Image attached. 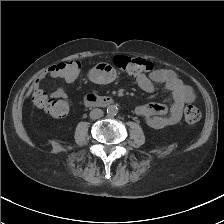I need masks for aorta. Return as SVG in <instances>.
Listing matches in <instances>:
<instances>
[{
	"mask_svg": "<svg viewBox=\"0 0 224 224\" xmlns=\"http://www.w3.org/2000/svg\"><path fill=\"white\" fill-rule=\"evenodd\" d=\"M118 113V107L117 105H110L107 107V114L109 116H115Z\"/></svg>",
	"mask_w": 224,
	"mask_h": 224,
	"instance_id": "762f6f07",
	"label": "aorta"
}]
</instances>
